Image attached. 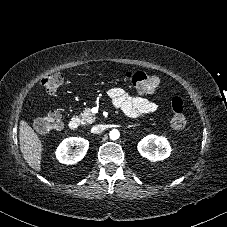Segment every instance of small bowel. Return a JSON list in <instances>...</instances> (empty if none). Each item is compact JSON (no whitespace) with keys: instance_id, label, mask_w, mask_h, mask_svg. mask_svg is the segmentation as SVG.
<instances>
[{"instance_id":"obj_1","label":"small bowel","mask_w":227,"mask_h":227,"mask_svg":"<svg viewBox=\"0 0 227 227\" xmlns=\"http://www.w3.org/2000/svg\"><path fill=\"white\" fill-rule=\"evenodd\" d=\"M107 95L116 108H119L131 118L153 113L158 108L155 102L143 96H131L120 88H110Z\"/></svg>"}]
</instances>
